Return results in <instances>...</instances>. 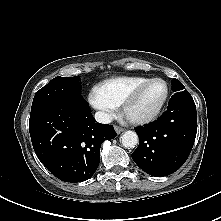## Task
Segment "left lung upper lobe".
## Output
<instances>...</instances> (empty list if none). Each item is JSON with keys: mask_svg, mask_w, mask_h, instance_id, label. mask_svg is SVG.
Wrapping results in <instances>:
<instances>
[{"mask_svg": "<svg viewBox=\"0 0 221 221\" xmlns=\"http://www.w3.org/2000/svg\"><path fill=\"white\" fill-rule=\"evenodd\" d=\"M172 91H175L176 93L171 97V99H177L189 94V92L185 90L184 85L177 79L172 80Z\"/></svg>", "mask_w": 221, "mask_h": 221, "instance_id": "left-lung-upper-lobe-1", "label": "left lung upper lobe"}]
</instances>
